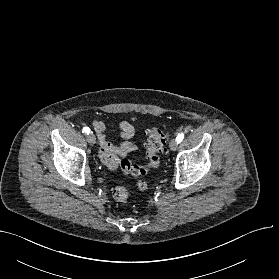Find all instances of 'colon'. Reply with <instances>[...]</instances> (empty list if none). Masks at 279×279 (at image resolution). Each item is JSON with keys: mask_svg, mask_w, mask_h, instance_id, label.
I'll return each mask as SVG.
<instances>
[{"mask_svg": "<svg viewBox=\"0 0 279 279\" xmlns=\"http://www.w3.org/2000/svg\"><path fill=\"white\" fill-rule=\"evenodd\" d=\"M164 149V134L161 130L153 128L149 131V137L146 142V158L147 165L140 166L133 164L128 159H123L121 161L122 170L130 175L136 177H142L148 174L151 170L156 169L160 164L159 154ZM136 188L139 190H145L147 184L144 180H138L136 183ZM113 196L117 201L125 202L131 196V191L126 186H117L113 190Z\"/></svg>", "mask_w": 279, "mask_h": 279, "instance_id": "obj_1", "label": "colon"}]
</instances>
